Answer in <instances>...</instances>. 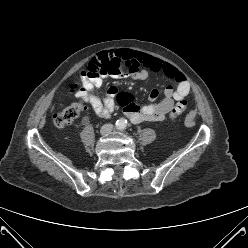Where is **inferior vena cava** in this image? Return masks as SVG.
<instances>
[{
	"label": "inferior vena cava",
	"mask_w": 248,
	"mask_h": 248,
	"mask_svg": "<svg viewBox=\"0 0 248 248\" xmlns=\"http://www.w3.org/2000/svg\"><path fill=\"white\" fill-rule=\"evenodd\" d=\"M113 125L112 124H105L101 127V133L108 134L112 131Z\"/></svg>",
	"instance_id": "obj_1"
}]
</instances>
